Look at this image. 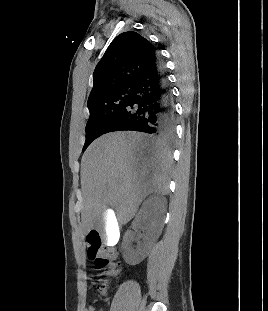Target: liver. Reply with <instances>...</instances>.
<instances>
[{"label": "liver", "instance_id": "obj_1", "mask_svg": "<svg viewBox=\"0 0 268 311\" xmlns=\"http://www.w3.org/2000/svg\"><path fill=\"white\" fill-rule=\"evenodd\" d=\"M171 164V154L150 146L142 134L113 132L96 139L81 160L82 231L98 228L109 207L123 225L149 194L167 195Z\"/></svg>", "mask_w": 268, "mask_h": 311}]
</instances>
